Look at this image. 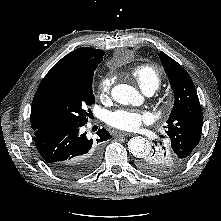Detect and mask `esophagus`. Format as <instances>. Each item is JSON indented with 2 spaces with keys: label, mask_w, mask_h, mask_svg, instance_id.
<instances>
[{
  "label": "esophagus",
  "mask_w": 221,
  "mask_h": 221,
  "mask_svg": "<svg viewBox=\"0 0 221 221\" xmlns=\"http://www.w3.org/2000/svg\"><path fill=\"white\" fill-rule=\"evenodd\" d=\"M116 137H127V136H131L130 133H126V132H116L115 133Z\"/></svg>",
  "instance_id": "obj_1"
}]
</instances>
